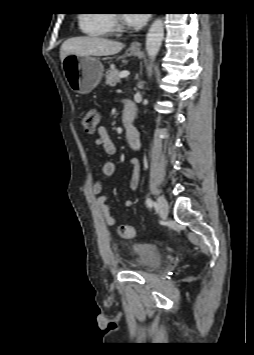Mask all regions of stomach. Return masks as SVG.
<instances>
[{
  "instance_id": "0dacf381",
  "label": "stomach",
  "mask_w": 254,
  "mask_h": 355,
  "mask_svg": "<svg viewBox=\"0 0 254 355\" xmlns=\"http://www.w3.org/2000/svg\"><path fill=\"white\" fill-rule=\"evenodd\" d=\"M132 55L138 50L131 49ZM64 75L71 89L80 94L90 93L100 82L103 76V65L92 56L71 54L62 61Z\"/></svg>"
}]
</instances>
